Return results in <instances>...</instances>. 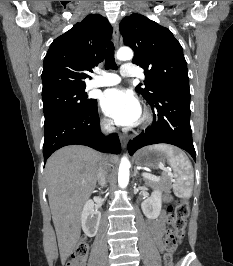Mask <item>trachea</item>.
I'll use <instances>...</instances> for the list:
<instances>
[{"label":"trachea","mask_w":233,"mask_h":266,"mask_svg":"<svg viewBox=\"0 0 233 266\" xmlns=\"http://www.w3.org/2000/svg\"><path fill=\"white\" fill-rule=\"evenodd\" d=\"M105 69H117V65L115 63V58H114V44L112 42L109 43L106 51V56H105Z\"/></svg>","instance_id":"1"}]
</instances>
